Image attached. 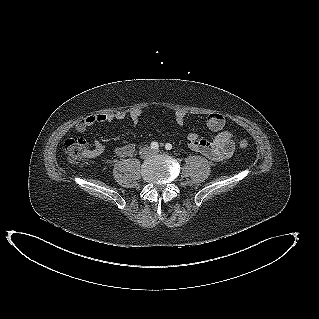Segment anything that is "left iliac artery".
<instances>
[{"mask_svg": "<svg viewBox=\"0 0 319 319\" xmlns=\"http://www.w3.org/2000/svg\"><path fill=\"white\" fill-rule=\"evenodd\" d=\"M165 149H166V150H171V149H172V145H171L170 143H167V144L165 145Z\"/></svg>", "mask_w": 319, "mask_h": 319, "instance_id": "obj_1", "label": "left iliac artery"}]
</instances>
